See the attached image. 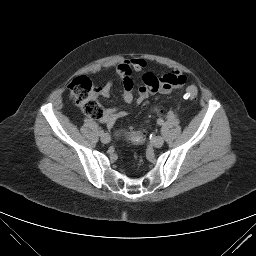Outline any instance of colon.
I'll use <instances>...</instances> for the list:
<instances>
[{
	"mask_svg": "<svg viewBox=\"0 0 256 256\" xmlns=\"http://www.w3.org/2000/svg\"><path fill=\"white\" fill-rule=\"evenodd\" d=\"M70 98L81 108L82 112L90 118L100 119L104 110L97 99L98 88L85 76L74 78L68 85ZM198 95V89L190 85L186 88L185 97L194 99ZM116 137L125 138L131 143L139 144L144 140L142 132L126 133L118 131Z\"/></svg>",
	"mask_w": 256,
	"mask_h": 256,
	"instance_id": "5ec220e1",
	"label": "colon"
}]
</instances>
